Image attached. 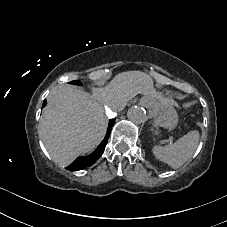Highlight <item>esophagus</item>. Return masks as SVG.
Here are the masks:
<instances>
[{
    "label": "esophagus",
    "mask_w": 227,
    "mask_h": 227,
    "mask_svg": "<svg viewBox=\"0 0 227 227\" xmlns=\"http://www.w3.org/2000/svg\"><path fill=\"white\" fill-rule=\"evenodd\" d=\"M137 103L142 109H147L149 107V100L145 96L139 97Z\"/></svg>",
    "instance_id": "34e87169"
}]
</instances>
